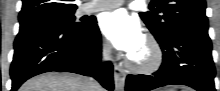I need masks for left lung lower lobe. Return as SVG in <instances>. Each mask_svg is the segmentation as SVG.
Wrapping results in <instances>:
<instances>
[{"label": "left lung lower lobe", "mask_w": 220, "mask_h": 91, "mask_svg": "<svg viewBox=\"0 0 220 91\" xmlns=\"http://www.w3.org/2000/svg\"><path fill=\"white\" fill-rule=\"evenodd\" d=\"M158 43L163 52L160 69L151 76L128 75L126 91H149L169 84L215 91V67L208 33L179 30Z\"/></svg>", "instance_id": "0a47b994"}]
</instances>
